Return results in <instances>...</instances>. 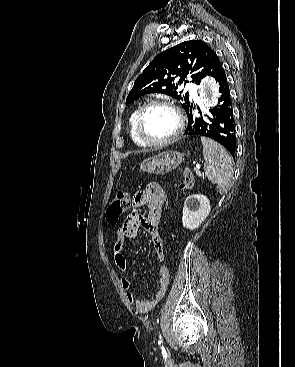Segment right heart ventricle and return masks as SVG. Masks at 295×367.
<instances>
[{"label":"right heart ventricle","mask_w":295,"mask_h":367,"mask_svg":"<svg viewBox=\"0 0 295 367\" xmlns=\"http://www.w3.org/2000/svg\"><path fill=\"white\" fill-rule=\"evenodd\" d=\"M138 111H139V108L135 109L129 117V121H128L129 131H130L131 139L134 141V143H136L138 146L144 147L145 145L139 140L135 132V119H136Z\"/></svg>","instance_id":"right-heart-ventricle-1"}]
</instances>
